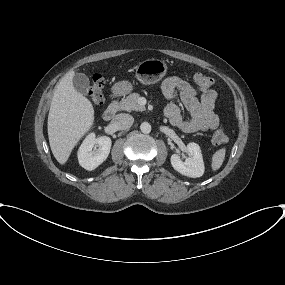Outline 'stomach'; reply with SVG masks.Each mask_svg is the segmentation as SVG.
Segmentation results:
<instances>
[{
    "instance_id": "1",
    "label": "stomach",
    "mask_w": 285,
    "mask_h": 285,
    "mask_svg": "<svg viewBox=\"0 0 285 285\" xmlns=\"http://www.w3.org/2000/svg\"><path fill=\"white\" fill-rule=\"evenodd\" d=\"M167 64L162 59H147L140 62L135 67V76L137 80L144 84L150 85L160 81L167 73ZM133 90V84L129 81H119L114 84L112 91L116 96H123Z\"/></svg>"
}]
</instances>
